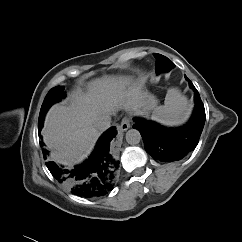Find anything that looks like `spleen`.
Listing matches in <instances>:
<instances>
[{
	"label": "spleen",
	"mask_w": 242,
	"mask_h": 242,
	"mask_svg": "<svg viewBox=\"0 0 242 242\" xmlns=\"http://www.w3.org/2000/svg\"><path fill=\"white\" fill-rule=\"evenodd\" d=\"M190 106L187 98L172 88L166 94L164 105L154 109L152 117L156 121L167 126H178L183 124L188 118Z\"/></svg>",
	"instance_id": "1"
}]
</instances>
